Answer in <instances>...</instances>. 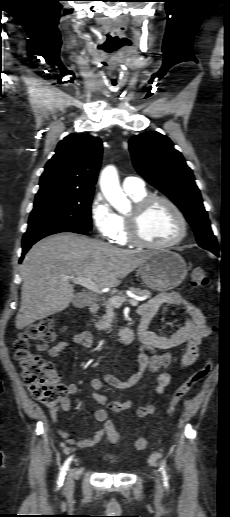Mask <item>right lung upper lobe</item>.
I'll return each mask as SVG.
<instances>
[{
	"mask_svg": "<svg viewBox=\"0 0 230 517\" xmlns=\"http://www.w3.org/2000/svg\"><path fill=\"white\" fill-rule=\"evenodd\" d=\"M47 162L36 197L93 192L102 158V142L87 134H70Z\"/></svg>",
	"mask_w": 230,
	"mask_h": 517,
	"instance_id": "cb5924a9",
	"label": "right lung upper lobe"
}]
</instances>
